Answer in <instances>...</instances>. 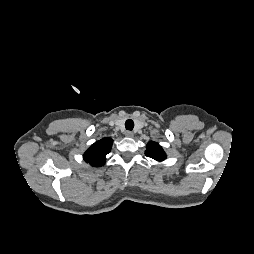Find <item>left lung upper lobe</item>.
Segmentation results:
<instances>
[{"label":"left lung upper lobe","mask_w":254,"mask_h":254,"mask_svg":"<svg viewBox=\"0 0 254 254\" xmlns=\"http://www.w3.org/2000/svg\"><path fill=\"white\" fill-rule=\"evenodd\" d=\"M145 155L157 161H162L166 158V154L162 147L156 142H149L146 146Z\"/></svg>","instance_id":"5c2ea615"}]
</instances>
